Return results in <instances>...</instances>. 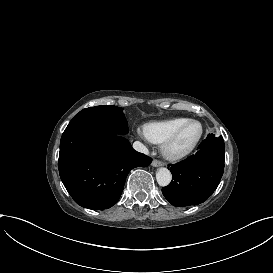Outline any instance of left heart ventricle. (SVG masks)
I'll return each instance as SVG.
<instances>
[{
  "label": "left heart ventricle",
  "instance_id": "left-heart-ventricle-1",
  "mask_svg": "<svg viewBox=\"0 0 273 273\" xmlns=\"http://www.w3.org/2000/svg\"><path fill=\"white\" fill-rule=\"evenodd\" d=\"M200 130H201V127L197 123L189 125L186 128L185 132L183 133V136L180 140V145L186 146V145L190 144L197 137V135L200 133Z\"/></svg>",
  "mask_w": 273,
  "mask_h": 273
}]
</instances>
